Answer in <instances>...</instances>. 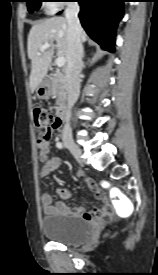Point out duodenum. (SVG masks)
Instances as JSON below:
<instances>
[{"mask_svg":"<svg viewBox=\"0 0 158 275\" xmlns=\"http://www.w3.org/2000/svg\"><path fill=\"white\" fill-rule=\"evenodd\" d=\"M68 116L67 108L65 106H60L57 113V118L60 124L66 121Z\"/></svg>","mask_w":158,"mask_h":275,"instance_id":"obj_1","label":"duodenum"}]
</instances>
